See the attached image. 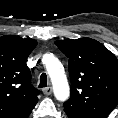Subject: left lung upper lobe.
<instances>
[{
    "mask_svg": "<svg viewBox=\"0 0 118 118\" xmlns=\"http://www.w3.org/2000/svg\"><path fill=\"white\" fill-rule=\"evenodd\" d=\"M69 58L71 95L64 111L74 118H106L118 104V60L90 38L55 41Z\"/></svg>",
    "mask_w": 118,
    "mask_h": 118,
    "instance_id": "left-lung-upper-lobe-1",
    "label": "left lung upper lobe"
}]
</instances>
